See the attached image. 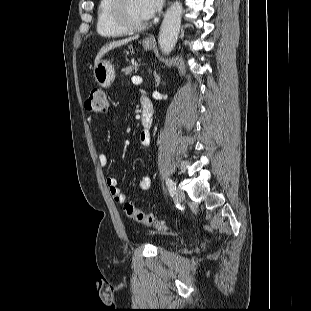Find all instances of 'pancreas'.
<instances>
[{"instance_id":"cf45deb5","label":"pancreas","mask_w":311,"mask_h":311,"mask_svg":"<svg viewBox=\"0 0 311 311\" xmlns=\"http://www.w3.org/2000/svg\"><path fill=\"white\" fill-rule=\"evenodd\" d=\"M138 70H139V65L137 63H135L133 65L127 66L122 71L125 73V75L129 76L132 73H136Z\"/></svg>"}]
</instances>
